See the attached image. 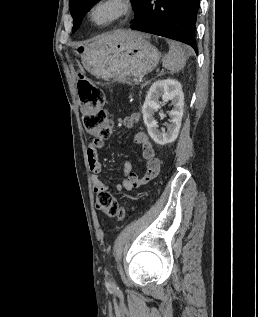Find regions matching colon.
I'll list each match as a JSON object with an SVG mask.
<instances>
[{
    "mask_svg": "<svg viewBox=\"0 0 258 317\" xmlns=\"http://www.w3.org/2000/svg\"><path fill=\"white\" fill-rule=\"evenodd\" d=\"M83 126L88 135L106 139L112 132V123L104 110V94L84 76L77 82ZM96 208L109 218L124 219L127 210L109 192L96 196Z\"/></svg>",
    "mask_w": 258,
    "mask_h": 317,
    "instance_id": "1",
    "label": "colon"
}]
</instances>
